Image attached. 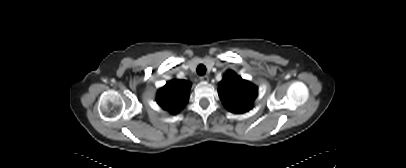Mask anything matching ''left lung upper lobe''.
<instances>
[{"label": "left lung upper lobe", "instance_id": "1", "mask_svg": "<svg viewBox=\"0 0 406 168\" xmlns=\"http://www.w3.org/2000/svg\"><path fill=\"white\" fill-rule=\"evenodd\" d=\"M218 93L230 112L243 113L251 109L257 97V88L229 70L219 83Z\"/></svg>", "mask_w": 406, "mask_h": 168}]
</instances>
